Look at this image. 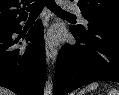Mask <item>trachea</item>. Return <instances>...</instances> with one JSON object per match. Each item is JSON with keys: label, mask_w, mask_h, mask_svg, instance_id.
I'll use <instances>...</instances> for the list:
<instances>
[{"label": "trachea", "mask_w": 119, "mask_h": 95, "mask_svg": "<svg viewBox=\"0 0 119 95\" xmlns=\"http://www.w3.org/2000/svg\"><path fill=\"white\" fill-rule=\"evenodd\" d=\"M45 5L57 15L74 17L73 14L64 11L58 6L54 0H36L33 4L28 6L27 11L30 12V16L39 15Z\"/></svg>", "instance_id": "obj_1"}]
</instances>
